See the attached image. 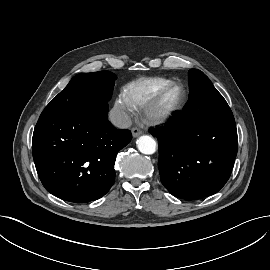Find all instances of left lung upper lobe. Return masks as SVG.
I'll return each mask as SVG.
<instances>
[{
  "instance_id": "1",
  "label": "left lung upper lobe",
  "mask_w": 270,
  "mask_h": 270,
  "mask_svg": "<svg viewBox=\"0 0 270 270\" xmlns=\"http://www.w3.org/2000/svg\"><path fill=\"white\" fill-rule=\"evenodd\" d=\"M189 99L201 118L214 119L233 116L223 96L200 70L189 71Z\"/></svg>"
}]
</instances>
